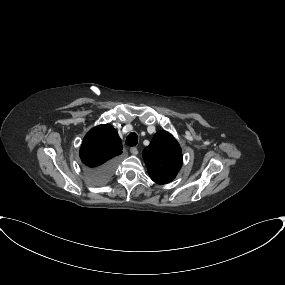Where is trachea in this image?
I'll list each match as a JSON object with an SVG mask.
<instances>
[{
	"label": "trachea",
	"instance_id": "trachea-1",
	"mask_svg": "<svg viewBox=\"0 0 285 285\" xmlns=\"http://www.w3.org/2000/svg\"><path fill=\"white\" fill-rule=\"evenodd\" d=\"M138 143V136L135 132H131L126 138V144L128 146H136Z\"/></svg>",
	"mask_w": 285,
	"mask_h": 285
}]
</instances>
